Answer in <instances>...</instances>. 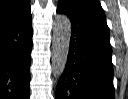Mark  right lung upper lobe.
<instances>
[{
    "label": "right lung upper lobe",
    "instance_id": "right-lung-upper-lobe-1",
    "mask_svg": "<svg viewBox=\"0 0 128 99\" xmlns=\"http://www.w3.org/2000/svg\"><path fill=\"white\" fill-rule=\"evenodd\" d=\"M29 8V0H0V28Z\"/></svg>",
    "mask_w": 128,
    "mask_h": 99
}]
</instances>
